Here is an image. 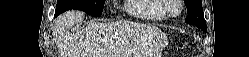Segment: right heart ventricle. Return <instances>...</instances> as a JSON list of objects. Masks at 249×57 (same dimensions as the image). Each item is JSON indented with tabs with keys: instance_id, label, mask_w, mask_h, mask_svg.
<instances>
[{
	"instance_id": "right-heart-ventricle-1",
	"label": "right heart ventricle",
	"mask_w": 249,
	"mask_h": 57,
	"mask_svg": "<svg viewBox=\"0 0 249 57\" xmlns=\"http://www.w3.org/2000/svg\"><path fill=\"white\" fill-rule=\"evenodd\" d=\"M126 12L137 19L147 21H164L167 15L163 0H128Z\"/></svg>"
}]
</instances>
